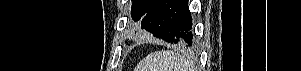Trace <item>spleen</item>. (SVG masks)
Instances as JSON below:
<instances>
[{"label": "spleen", "mask_w": 301, "mask_h": 71, "mask_svg": "<svg viewBox=\"0 0 301 71\" xmlns=\"http://www.w3.org/2000/svg\"><path fill=\"white\" fill-rule=\"evenodd\" d=\"M193 64L172 50L157 51L148 55L137 71H192Z\"/></svg>", "instance_id": "spleen-1"}]
</instances>
